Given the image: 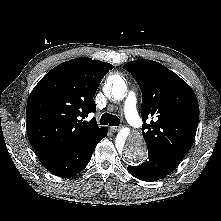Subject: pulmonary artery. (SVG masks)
<instances>
[{
	"instance_id": "obj_1",
	"label": "pulmonary artery",
	"mask_w": 221,
	"mask_h": 221,
	"mask_svg": "<svg viewBox=\"0 0 221 221\" xmlns=\"http://www.w3.org/2000/svg\"><path fill=\"white\" fill-rule=\"evenodd\" d=\"M124 114L127 121L135 128L142 126V120L136 109V96L130 92L124 102Z\"/></svg>"
}]
</instances>
